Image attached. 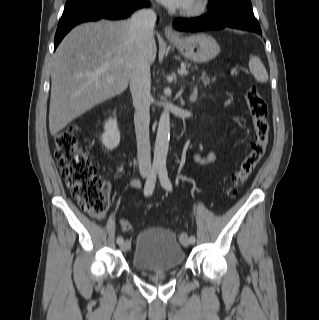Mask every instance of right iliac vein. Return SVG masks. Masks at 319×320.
<instances>
[{
  "label": "right iliac vein",
  "instance_id": "obj_1",
  "mask_svg": "<svg viewBox=\"0 0 319 320\" xmlns=\"http://www.w3.org/2000/svg\"><path fill=\"white\" fill-rule=\"evenodd\" d=\"M130 245H131L130 241L129 240H125L120 244V249L122 251H127L130 248Z\"/></svg>",
  "mask_w": 319,
  "mask_h": 320
}]
</instances>
